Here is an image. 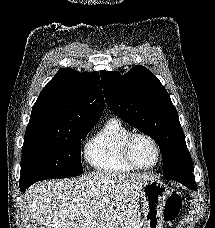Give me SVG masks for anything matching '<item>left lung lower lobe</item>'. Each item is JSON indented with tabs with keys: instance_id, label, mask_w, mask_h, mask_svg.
<instances>
[{
	"instance_id": "obj_1",
	"label": "left lung lower lobe",
	"mask_w": 215,
	"mask_h": 228,
	"mask_svg": "<svg viewBox=\"0 0 215 228\" xmlns=\"http://www.w3.org/2000/svg\"><path fill=\"white\" fill-rule=\"evenodd\" d=\"M166 179L177 181V182L185 185L186 187H188L191 190H195V191L197 190V185L194 181V175L193 174H189V175L182 176V177H168Z\"/></svg>"
}]
</instances>
